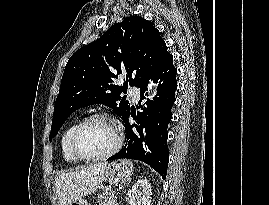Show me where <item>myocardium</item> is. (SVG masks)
<instances>
[{"mask_svg":"<svg viewBox=\"0 0 269 205\" xmlns=\"http://www.w3.org/2000/svg\"><path fill=\"white\" fill-rule=\"evenodd\" d=\"M98 120L106 121V122L111 124L113 131H114V135H115V144L106 153H103L100 155H94V156L85 155L78 148L79 134L88 124H90L91 122H94V121H98ZM122 144H123V137H122V133H121L118 121L116 119H114L113 117H111L110 115L105 114V113H96V114H92V115L84 118L74 128V130L71 134V137H70V148H71L72 153L79 160H85V161H98V160H104V159L110 158L121 149Z\"/></svg>","mask_w":269,"mask_h":205,"instance_id":"myocardium-1","label":"myocardium"}]
</instances>
